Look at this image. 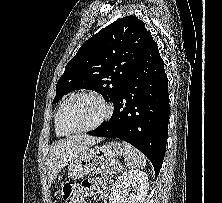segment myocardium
<instances>
[{"instance_id":"f54148a6","label":"myocardium","mask_w":222,"mask_h":203,"mask_svg":"<svg viewBox=\"0 0 222 203\" xmlns=\"http://www.w3.org/2000/svg\"><path fill=\"white\" fill-rule=\"evenodd\" d=\"M78 97H90L95 99L96 101H98L104 108V113L102 115V117L95 122L94 124L88 126V127H84V128H79V129H72L69 128L65 125L64 121H63V115L65 112L66 107L69 105V103L78 98ZM113 112V107L112 105L100 94L98 93H94V92H80V93H76L72 96H70L69 98H67L64 103L62 104L60 110H59V114H58V124L59 127L66 133L68 134H78V133H85V132H90L92 130L97 129L98 127H100L102 124H104L112 115Z\"/></svg>"}]
</instances>
